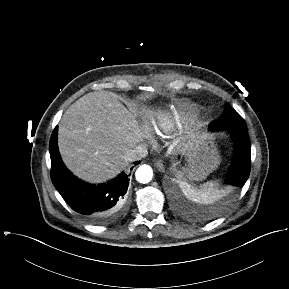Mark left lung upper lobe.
I'll return each instance as SVG.
<instances>
[{
  "label": "left lung upper lobe",
  "mask_w": 289,
  "mask_h": 289,
  "mask_svg": "<svg viewBox=\"0 0 289 289\" xmlns=\"http://www.w3.org/2000/svg\"><path fill=\"white\" fill-rule=\"evenodd\" d=\"M230 127L246 128V123L233 108L227 105L222 116L217 121L211 122L209 128L211 130H220Z\"/></svg>",
  "instance_id": "5c2ea615"
}]
</instances>
